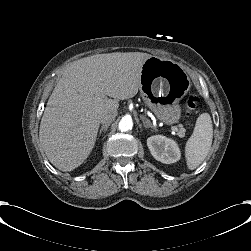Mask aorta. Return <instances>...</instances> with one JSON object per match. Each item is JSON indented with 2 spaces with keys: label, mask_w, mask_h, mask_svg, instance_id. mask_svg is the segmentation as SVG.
<instances>
[{
  "label": "aorta",
  "mask_w": 251,
  "mask_h": 251,
  "mask_svg": "<svg viewBox=\"0 0 251 251\" xmlns=\"http://www.w3.org/2000/svg\"><path fill=\"white\" fill-rule=\"evenodd\" d=\"M133 127V122L132 119L130 118H123L120 122H119V130L126 132L130 129H132Z\"/></svg>",
  "instance_id": "obj_1"
}]
</instances>
